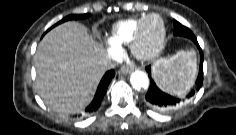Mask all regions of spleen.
I'll use <instances>...</instances> for the list:
<instances>
[{"instance_id": "3e777b00", "label": "spleen", "mask_w": 236, "mask_h": 135, "mask_svg": "<svg viewBox=\"0 0 236 135\" xmlns=\"http://www.w3.org/2000/svg\"><path fill=\"white\" fill-rule=\"evenodd\" d=\"M196 75L197 59L193 49L178 51L153 66V77L159 88L173 95L184 94L193 85Z\"/></svg>"}]
</instances>
